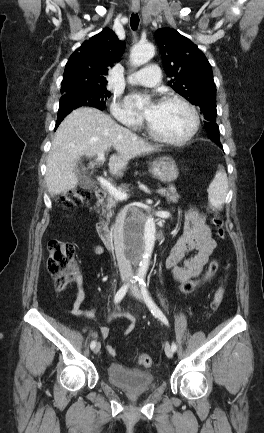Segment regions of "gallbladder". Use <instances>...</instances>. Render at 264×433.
Instances as JSON below:
<instances>
[{
	"mask_svg": "<svg viewBox=\"0 0 264 433\" xmlns=\"http://www.w3.org/2000/svg\"><path fill=\"white\" fill-rule=\"evenodd\" d=\"M77 177H78V183L82 188L92 189L94 187V184L85 175L84 169L81 165L77 166Z\"/></svg>",
	"mask_w": 264,
	"mask_h": 433,
	"instance_id": "1",
	"label": "gallbladder"
}]
</instances>
